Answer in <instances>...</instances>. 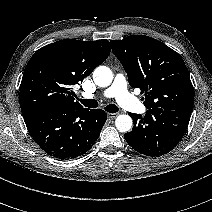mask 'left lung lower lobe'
<instances>
[{"instance_id": "0a47b994", "label": "left lung lower lobe", "mask_w": 212, "mask_h": 212, "mask_svg": "<svg viewBox=\"0 0 212 212\" xmlns=\"http://www.w3.org/2000/svg\"><path fill=\"white\" fill-rule=\"evenodd\" d=\"M134 120L132 131L125 133L127 143L147 156H161L173 150L182 139L191 112L150 108L145 116L129 113Z\"/></svg>"}]
</instances>
